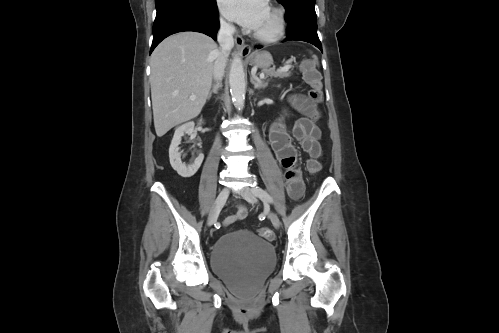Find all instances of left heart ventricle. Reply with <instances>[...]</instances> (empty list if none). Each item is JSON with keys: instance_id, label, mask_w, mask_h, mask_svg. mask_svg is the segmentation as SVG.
Returning <instances> with one entry per match:
<instances>
[{"instance_id": "obj_1", "label": "left heart ventricle", "mask_w": 499, "mask_h": 333, "mask_svg": "<svg viewBox=\"0 0 499 333\" xmlns=\"http://www.w3.org/2000/svg\"><path fill=\"white\" fill-rule=\"evenodd\" d=\"M275 28H276V19L274 15L268 10L255 30L268 34L272 33L275 30Z\"/></svg>"}]
</instances>
